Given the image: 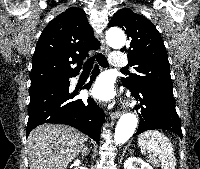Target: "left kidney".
<instances>
[{
	"instance_id": "obj_1",
	"label": "left kidney",
	"mask_w": 200,
	"mask_h": 169,
	"mask_svg": "<svg viewBox=\"0 0 200 169\" xmlns=\"http://www.w3.org/2000/svg\"><path fill=\"white\" fill-rule=\"evenodd\" d=\"M124 169H153V167L140 158L129 157L124 162Z\"/></svg>"
}]
</instances>
